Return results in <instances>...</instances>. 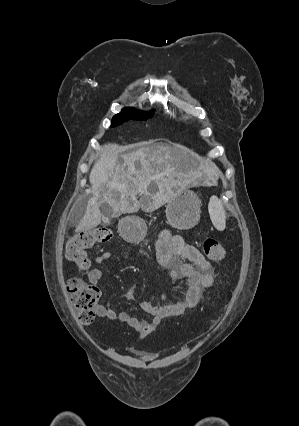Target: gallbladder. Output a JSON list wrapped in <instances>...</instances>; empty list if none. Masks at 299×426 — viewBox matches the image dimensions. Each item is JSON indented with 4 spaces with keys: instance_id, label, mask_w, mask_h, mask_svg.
Here are the masks:
<instances>
[{
    "instance_id": "bac80fb5",
    "label": "gallbladder",
    "mask_w": 299,
    "mask_h": 426,
    "mask_svg": "<svg viewBox=\"0 0 299 426\" xmlns=\"http://www.w3.org/2000/svg\"><path fill=\"white\" fill-rule=\"evenodd\" d=\"M100 211L103 216V223L105 225H109L111 223V218L114 215L113 208L110 205L104 203V204H101Z\"/></svg>"
}]
</instances>
